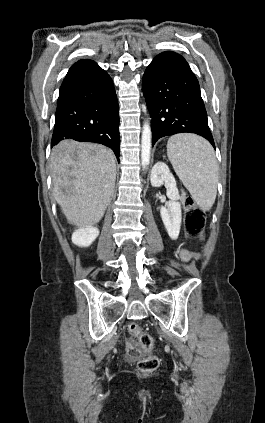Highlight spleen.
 Segmentation results:
<instances>
[{"label":"spleen","instance_id":"spleen-1","mask_svg":"<svg viewBox=\"0 0 265 423\" xmlns=\"http://www.w3.org/2000/svg\"><path fill=\"white\" fill-rule=\"evenodd\" d=\"M167 156L192 199L209 211L216 199L219 174L210 143L193 134L173 135L167 142Z\"/></svg>","mask_w":265,"mask_h":423}]
</instances>
